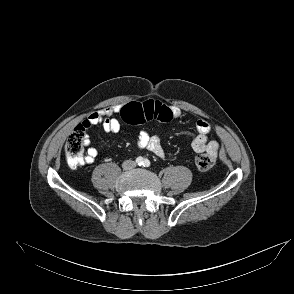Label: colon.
<instances>
[{"instance_id":"colon-1","label":"colon","mask_w":294,"mask_h":294,"mask_svg":"<svg viewBox=\"0 0 294 294\" xmlns=\"http://www.w3.org/2000/svg\"><path fill=\"white\" fill-rule=\"evenodd\" d=\"M120 115L125 122L130 124H141L149 120L167 122L173 118L170 107L159 101L128 103L122 107ZM84 140L85 130L81 125L77 126L68 136L65 153L67 163L71 168L84 164ZM215 162V155L209 153L199 154L195 160L197 168L202 172L212 169Z\"/></svg>"}]
</instances>
